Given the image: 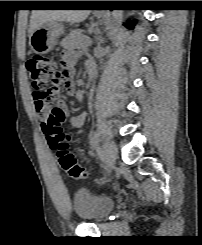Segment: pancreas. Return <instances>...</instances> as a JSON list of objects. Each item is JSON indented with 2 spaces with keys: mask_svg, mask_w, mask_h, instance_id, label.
Segmentation results:
<instances>
[{
  "mask_svg": "<svg viewBox=\"0 0 202 245\" xmlns=\"http://www.w3.org/2000/svg\"><path fill=\"white\" fill-rule=\"evenodd\" d=\"M87 37L82 34V31L72 30L70 34L61 42L64 48H84L88 45Z\"/></svg>",
  "mask_w": 202,
  "mask_h": 245,
  "instance_id": "1",
  "label": "pancreas"
}]
</instances>
